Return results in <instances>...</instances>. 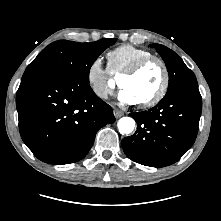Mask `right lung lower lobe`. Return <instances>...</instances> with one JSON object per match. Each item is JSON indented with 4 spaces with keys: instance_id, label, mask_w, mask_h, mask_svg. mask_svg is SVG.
<instances>
[{
    "instance_id": "obj_1",
    "label": "right lung lower lobe",
    "mask_w": 221,
    "mask_h": 221,
    "mask_svg": "<svg viewBox=\"0 0 221 221\" xmlns=\"http://www.w3.org/2000/svg\"><path fill=\"white\" fill-rule=\"evenodd\" d=\"M16 106L22 140L38 159L54 165L84 158L97 131L115 121L111 106L89 83L52 73L23 74Z\"/></svg>"
}]
</instances>
